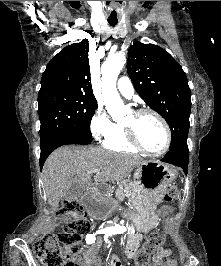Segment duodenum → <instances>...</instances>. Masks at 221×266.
<instances>
[{"mask_svg":"<svg viewBox=\"0 0 221 266\" xmlns=\"http://www.w3.org/2000/svg\"><path fill=\"white\" fill-rule=\"evenodd\" d=\"M110 196V198H109ZM113 191H107L103 186L91 185L87 188L86 194L82 195V203L88 206L86 212L100 222H106L110 218L109 213L114 209Z\"/></svg>","mask_w":221,"mask_h":266,"instance_id":"1","label":"duodenum"}]
</instances>
